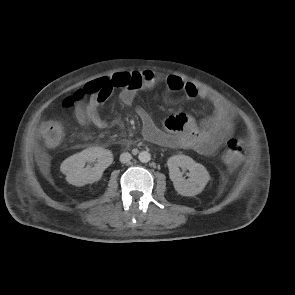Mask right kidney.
<instances>
[{
    "label": "right kidney",
    "instance_id": "ca27d5eb",
    "mask_svg": "<svg viewBox=\"0 0 295 295\" xmlns=\"http://www.w3.org/2000/svg\"><path fill=\"white\" fill-rule=\"evenodd\" d=\"M94 161H98L94 167L87 166L84 168L86 162L92 163ZM112 162L113 155L111 151L101 147H92L65 159L60 166V170L66 175L68 183L74 186H84L97 182L104 170Z\"/></svg>",
    "mask_w": 295,
    "mask_h": 295
}]
</instances>
